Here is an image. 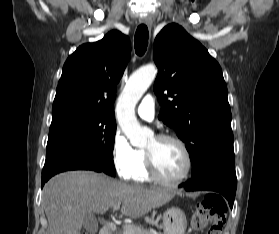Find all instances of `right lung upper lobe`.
I'll list each match as a JSON object with an SVG mask.
<instances>
[{"mask_svg": "<svg viewBox=\"0 0 279 234\" xmlns=\"http://www.w3.org/2000/svg\"><path fill=\"white\" fill-rule=\"evenodd\" d=\"M130 55L129 38L116 30L78 47L63 66L52 112L82 110L114 116L116 84Z\"/></svg>", "mask_w": 279, "mask_h": 234, "instance_id": "1", "label": "right lung upper lobe"}]
</instances>
